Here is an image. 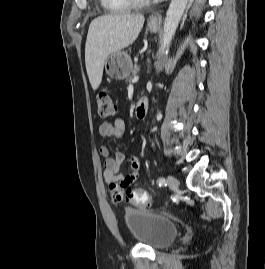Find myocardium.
Returning a JSON list of instances; mask_svg holds the SVG:
<instances>
[{
  "instance_id": "1",
  "label": "myocardium",
  "mask_w": 265,
  "mask_h": 269,
  "mask_svg": "<svg viewBox=\"0 0 265 269\" xmlns=\"http://www.w3.org/2000/svg\"><path fill=\"white\" fill-rule=\"evenodd\" d=\"M132 7H146L151 5L155 0H127Z\"/></svg>"
}]
</instances>
